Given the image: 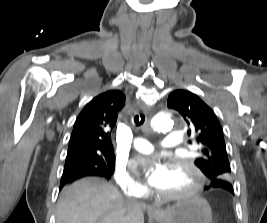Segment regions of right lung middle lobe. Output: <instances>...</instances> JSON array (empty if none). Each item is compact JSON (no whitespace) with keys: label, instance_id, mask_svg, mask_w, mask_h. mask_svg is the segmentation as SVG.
<instances>
[{"label":"right lung middle lobe","instance_id":"obj_1","mask_svg":"<svg viewBox=\"0 0 267 223\" xmlns=\"http://www.w3.org/2000/svg\"><path fill=\"white\" fill-rule=\"evenodd\" d=\"M114 164V154H92L66 159L64 172L80 170L88 174L109 178L114 171Z\"/></svg>","mask_w":267,"mask_h":223}]
</instances>
